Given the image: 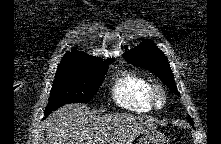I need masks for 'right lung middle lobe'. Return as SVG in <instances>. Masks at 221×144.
Masks as SVG:
<instances>
[{"label": "right lung middle lobe", "instance_id": "obj_1", "mask_svg": "<svg viewBox=\"0 0 221 144\" xmlns=\"http://www.w3.org/2000/svg\"><path fill=\"white\" fill-rule=\"evenodd\" d=\"M112 61L88 66L58 67L45 117L68 103H84L96 94Z\"/></svg>", "mask_w": 221, "mask_h": 144}]
</instances>
